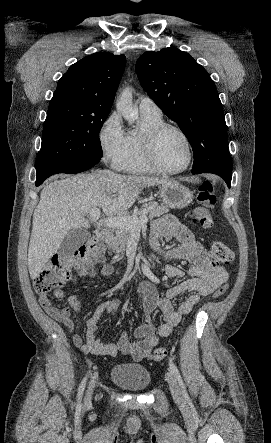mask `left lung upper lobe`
<instances>
[{"label":"left lung upper lobe","mask_w":271,"mask_h":443,"mask_svg":"<svg viewBox=\"0 0 271 443\" xmlns=\"http://www.w3.org/2000/svg\"><path fill=\"white\" fill-rule=\"evenodd\" d=\"M136 73L143 89L188 138L192 173H214L230 187L232 160L227 126L214 81L188 53L177 48L145 52Z\"/></svg>","instance_id":"1"}]
</instances>
